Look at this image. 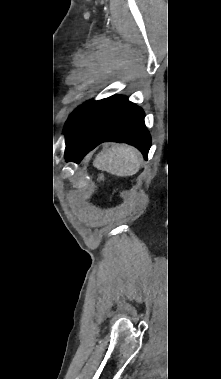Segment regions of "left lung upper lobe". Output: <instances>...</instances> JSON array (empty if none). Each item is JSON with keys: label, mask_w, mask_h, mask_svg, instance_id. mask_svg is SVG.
<instances>
[{"label": "left lung upper lobe", "mask_w": 221, "mask_h": 379, "mask_svg": "<svg viewBox=\"0 0 221 379\" xmlns=\"http://www.w3.org/2000/svg\"><path fill=\"white\" fill-rule=\"evenodd\" d=\"M96 102L88 101L86 104L80 106L77 108L69 117L67 120V123L65 125V134H66V141L70 138V136L73 134L75 128L80 123V121L86 116V114L90 111V109L94 106Z\"/></svg>", "instance_id": "obj_1"}]
</instances>
